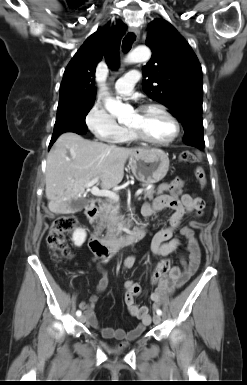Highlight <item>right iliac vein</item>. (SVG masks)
Instances as JSON below:
<instances>
[{"instance_id":"right-iliac-vein-1","label":"right iliac vein","mask_w":247,"mask_h":385,"mask_svg":"<svg viewBox=\"0 0 247 385\" xmlns=\"http://www.w3.org/2000/svg\"><path fill=\"white\" fill-rule=\"evenodd\" d=\"M79 321H80V322H85V317H84V315H82V316L79 317Z\"/></svg>"}]
</instances>
